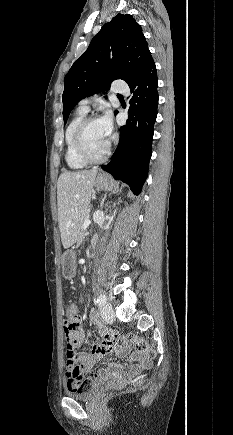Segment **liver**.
<instances>
[{"label": "liver", "mask_w": 233, "mask_h": 435, "mask_svg": "<svg viewBox=\"0 0 233 435\" xmlns=\"http://www.w3.org/2000/svg\"><path fill=\"white\" fill-rule=\"evenodd\" d=\"M97 170L64 172L57 182L58 222L65 249L78 239L81 221L87 214Z\"/></svg>", "instance_id": "liver-1"}]
</instances>
